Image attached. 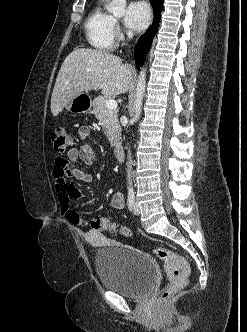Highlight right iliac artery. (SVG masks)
Listing matches in <instances>:
<instances>
[{
  "mask_svg": "<svg viewBox=\"0 0 247 332\" xmlns=\"http://www.w3.org/2000/svg\"><path fill=\"white\" fill-rule=\"evenodd\" d=\"M134 199H135L134 192L133 191H129L128 192L127 203H128V206H129L130 209L132 208V206L134 204Z\"/></svg>",
  "mask_w": 247,
  "mask_h": 332,
  "instance_id": "obj_1",
  "label": "right iliac artery"
}]
</instances>
